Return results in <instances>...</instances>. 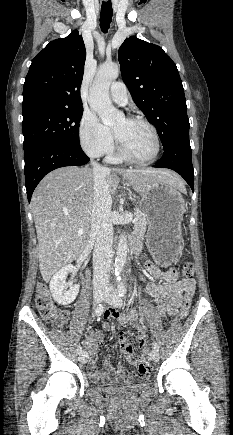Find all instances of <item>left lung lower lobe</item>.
Returning a JSON list of instances; mask_svg holds the SVG:
<instances>
[{"mask_svg":"<svg viewBox=\"0 0 233 435\" xmlns=\"http://www.w3.org/2000/svg\"><path fill=\"white\" fill-rule=\"evenodd\" d=\"M153 167L169 168L176 171L193 190L194 170L189 138L176 141L165 148L161 160Z\"/></svg>","mask_w":233,"mask_h":435,"instance_id":"obj_1","label":"left lung lower lobe"}]
</instances>
